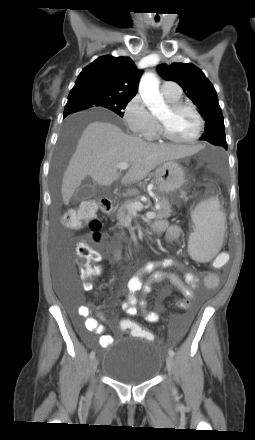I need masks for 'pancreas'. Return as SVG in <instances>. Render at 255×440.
Segmentation results:
<instances>
[{
  "label": "pancreas",
  "instance_id": "1",
  "mask_svg": "<svg viewBox=\"0 0 255 440\" xmlns=\"http://www.w3.org/2000/svg\"><path fill=\"white\" fill-rule=\"evenodd\" d=\"M134 202H139V197H136L131 200L125 201L123 205H121L117 211V220L119 221V226L122 228L124 224H130L132 219V213L128 211V206ZM159 209L156 211V219H166L171 216V205L169 202L162 197L159 201Z\"/></svg>",
  "mask_w": 255,
  "mask_h": 440
}]
</instances>
